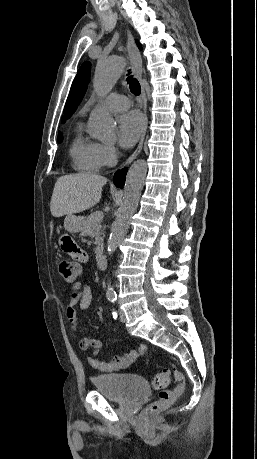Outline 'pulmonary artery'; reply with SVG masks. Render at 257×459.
I'll return each instance as SVG.
<instances>
[{
	"mask_svg": "<svg viewBox=\"0 0 257 459\" xmlns=\"http://www.w3.org/2000/svg\"><path fill=\"white\" fill-rule=\"evenodd\" d=\"M102 106L111 111H122L129 107V100L119 93H111L102 101Z\"/></svg>",
	"mask_w": 257,
	"mask_h": 459,
	"instance_id": "obj_1",
	"label": "pulmonary artery"
}]
</instances>
